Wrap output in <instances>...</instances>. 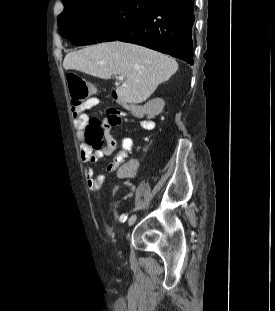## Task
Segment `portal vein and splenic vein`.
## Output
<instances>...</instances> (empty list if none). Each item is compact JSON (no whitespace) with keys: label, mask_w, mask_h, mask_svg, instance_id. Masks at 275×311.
Returning a JSON list of instances; mask_svg holds the SVG:
<instances>
[{"label":"portal vein and splenic vein","mask_w":275,"mask_h":311,"mask_svg":"<svg viewBox=\"0 0 275 311\" xmlns=\"http://www.w3.org/2000/svg\"><path fill=\"white\" fill-rule=\"evenodd\" d=\"M118 80L123 81L124 80V76L123 75H119L118 76Z\"/></svg>","instance_id":"1"}]
</instances>
